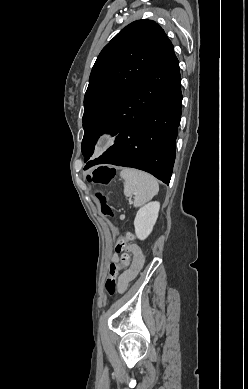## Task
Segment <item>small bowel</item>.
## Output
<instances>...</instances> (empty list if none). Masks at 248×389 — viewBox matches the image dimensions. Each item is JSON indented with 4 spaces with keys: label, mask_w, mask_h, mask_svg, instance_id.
Here are the masks:
<instances>
[{
    "label": "small bowel",
    "mask_w": 248,
    "mask_h": 389,
    "mask_svg": "<svg viewBox=\"0 0 248 389\" xmlns=\"http://www.w3.org/2000/svg\"><path fill=\"white\" fill-rule=\"evenodd\" d=\"M123 249L133 252L136 256V259L132 267L118 277L117 283H118L119 292H124L126 290L129 283L136 277V275L138 274L139 270L143 265V257L137 246L126 243ZM112 260L114 262H117L118 261L117 255H114Z\"/></svg>",
    "instance_id": "1"
}]
</instances>
